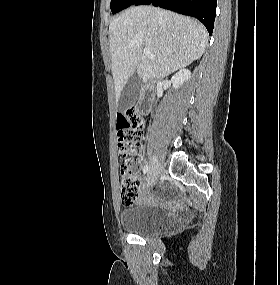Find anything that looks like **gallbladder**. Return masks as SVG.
<instances>
[{
  "label": "gallbladder",
  "instance_id": "bac80fb5",
  "mask_svg": "<svg viewBox=\"0 0 280 285\" xmlns=\"http://www.w3.org/2000/svg\"><path fill=\"white\" fill-rule=\"evenodd\" d=\"M142 88V80L138 75L133 74L126 82L123 90L121 91L118 101V111L124 112L130 106H132L140 94Z\"/></svg>",
  "mask_w": 280,
  "mask_h": 285
}]
</instances>
